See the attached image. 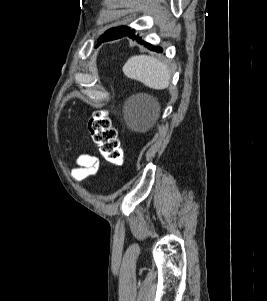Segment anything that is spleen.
Wrapping results in <instances>:
<instances>
[{
	"mask_svg": "<svg viewBox=\"0 0 267 301\" xmlns=\"http://www.w3.org/2000/svg\"><path fill=\"white\" fill-rule=\"evenodd\" d=\"M123 73L126 77L140 81L155 90L166 89L171 79L168 67L157 58L148 55L130 57L123 67Z\"/></svg>",
	"mask_w": 267,
	"mask_h": 301,
	"instance_id": "3e777b00",
	"label": "spleen"
}]
</instances>
